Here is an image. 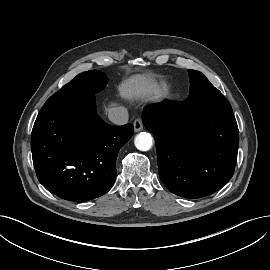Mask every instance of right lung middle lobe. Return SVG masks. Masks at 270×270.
Segmentation results:
<instances>
[{"instance_id":"1","label":"right lung middle lobe","mask_w":270,"mask_h":270,"mask_svg":"<svg viewBox=\"0 0 270 270\" xmlns=\"http://www.w3.org/2000/svg\"><path fill=\"white\" fill-rule=\"evenodd\" d=\"M106 83L107 78L100 71L90 70L81 73L52 95L42 108L94 97V94L102 90Z\"/></svg>"}]
</instances>
